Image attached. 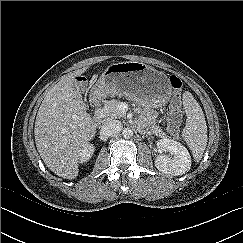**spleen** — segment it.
<instances>
[{"mask_svg": "<svg viewBox=\"0 0 243 243\" xmlns=\"http://www.w3.org/2000/svg\"><path fill=\"white\" fill-rule=\"evenodd\" d=\"M183 106L187 119L182 136L192 151L194 159L199 161L203 156L208 140L204 113L190 92L183 94Z\"/></svg>", "mask_w": 243, "mask_h": 243, "instance_id": "obj_1", "label": "spleen"}]
</instances>
